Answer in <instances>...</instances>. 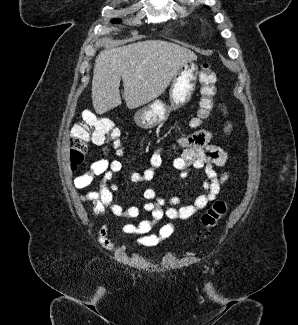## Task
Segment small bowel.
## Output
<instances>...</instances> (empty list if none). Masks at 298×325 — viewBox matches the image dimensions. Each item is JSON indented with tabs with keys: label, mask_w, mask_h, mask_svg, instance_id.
I'll return each instance as SVG.
<instances>
[{
	"label": "small bowel",
	"mask_w": 298,
	"mask_h": 325,
	"mask_svg": "<svg viewBox=\"0 0 298 325\" xmlns=\"http://www.w3.org/2000/svg\"><path fill=\"white\" fill-rule=\"evenodd\" d=\"M224 115L228 114L225 106H220ZM232 123L227 121L224 127L225 133H230ZM212 133L209 130H199L184 135L177 140V146L181 150L173 159V167L179 171L181 178L186 179L190 175V169L203 171L206 176L203 182L204 193L199 195L193 204L180 205L181 200L177 196L169 199L159 196L154 189L148 188L143 197L146 202L142 207L131 206L123 208L113 203V193L118 189L113 180L118 172L122 170V164L118 160H110L108 157L100 158L93 162L90 168L83 174L74 178V186L77 189L89 187L96 177H102L103 183L96 191L85 194L82 198L91 203L93 216L96 219L102 217L106 209L117 217L135 219L145 211L151 214V220H142L137 224H125L122 232L126 235H135L136 243L145 247H155L174 233V225L167 223L163 225L158 233H152L154 223L167 217L169 219L185 220L194 215L198 210L204 209L210 202L215 200L222 186L228 181L227 172H217L214 167H222L226 164L228 155L221 147L211 144ZM164 148H157L149 157L150 167L142 172L130 174V181L140 183L150 181L155 176V171L163 163ZM107 183H112L110 186ZM108 227L103 224L98 232L99 243L112 249L114 244L107 237Z\"/></svg>",
	"instance_id": "1"
}]
</instances>
